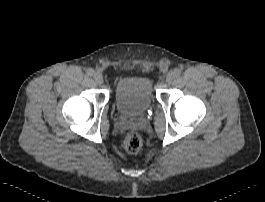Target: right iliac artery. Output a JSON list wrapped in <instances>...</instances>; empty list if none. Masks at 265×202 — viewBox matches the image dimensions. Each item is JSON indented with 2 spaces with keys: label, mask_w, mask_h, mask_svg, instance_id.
I'll use <instances>...</instances> for the list:
<instances>
[{
  "label": "right iliac artery",
  "mask_w": 265,
  "mask_h": 202,
  "mask_svg": "<svg viewBox=\"0 0 265 202\" xmlns=\"http://www.w3.org/2000/svg\"><path fill=\"white\" fill-rule=\"evenodd\" d=\"M86 74H87L88 76H92V75L94 74V70L91 69V68H89V69L86 70Z\"/></svg>",
  "instance_id": "obj_1"
}]
</instances>
